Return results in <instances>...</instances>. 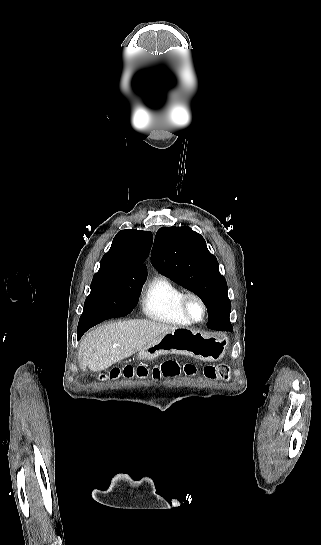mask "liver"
I'll return each mask as SVG.
<instances>
[{"label":"liver","instance_id":"6515ba94","mask_svg":"<svg viewBox=\"0 0 321 545\" xmlns=\"http://www.w3.org/2000/svg\"><path fill=\"white\" fill-rule=\"evenodd\" d=\"M175 329L179 327L165 325L158 321H144V319L102 325L86 333L81 339L78 353L79 367L82 371H86L87 367L95 373L105 371L118 361L142 351L160 335Z\"/></svg>","mask_w":321,"mask_h":545}]
</instances>
